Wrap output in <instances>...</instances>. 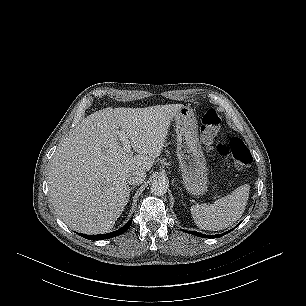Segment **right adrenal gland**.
Returning <instances> with one entry per match:
<instances>
[{"mask_svg":"<svg viewBox=\"0 0 306 306\" xmlns=\"http://www.w3.org/2000/svg\"><path fill=\"white\" fill-rule=\"evenodd\" d=\"M133 188H134V187H131V188H130V192L132 191Z\"/></svg>","mask_w":306,"mask_h":306,"instance_id":"obj_1","label":"right adrenal gland"}]
</instances>
